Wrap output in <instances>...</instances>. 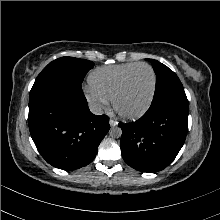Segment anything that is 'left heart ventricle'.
Masks as SVG:
<instances>
[{
	"label": "left heart ventricle",
	"mask_w": 220,
	"mask_h": 220,
	"mask_svg": "<svg viewBox=\"0 0 220 220\" xmlns=\"http://www.w3.org/2000/svg\"><path fill=\"white\" fill-rule=\"evenodd\" d=\"M152 89V74L146 67H139L130 76L117 101V107L125 113H134L147 103Z\"/></svg>",
	"instance_id": "left-heart-ventricle-1"
}]
</instances>
